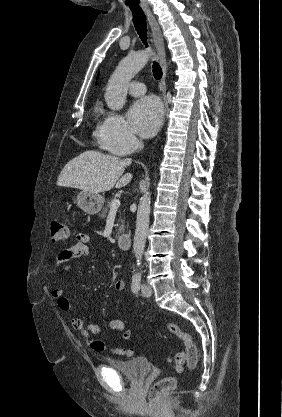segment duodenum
Instances as JSON below:
<instances>
[{"label": "duodenum", "mask_w": 282, "mask_h": 417, "mask_svg": "<svg viewBox=\"0 0 282 417\" xmlns=\"http://www.w3.org/2000/svg\"><path fill=\"white\" fill-rule=\"evenodd\" d=\"M116 242L120 249L127 250L129 248L130 236L128 234L118 235Z\"/></svg>", "instance_id": "410a0bca"}]
</instances>
